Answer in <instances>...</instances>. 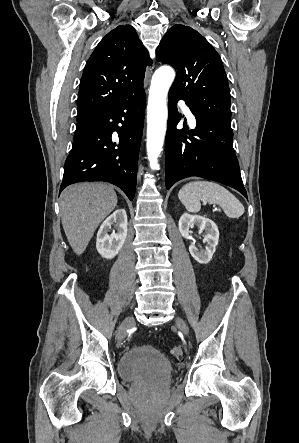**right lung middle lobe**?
I'll return each instance as SVG.
<instances>
[{
	"label": "right lung middle lobe",
	"instance_id": "right-lung-middle-lobe-1",
	"mask_svg": "<svg viewBox=\"0 0 299 443\" xmlns=\"http://www.w3.org/2000/svg\"><path fill=\"white\" fill-rule=\"evenodd\" d=\"M90 124H91V120L77 123L76 131L74 134V139H77L78 137H80Z\"/></svg>",
	"mask_w": 299,
	"mask_h": 443
}]
</instances>
